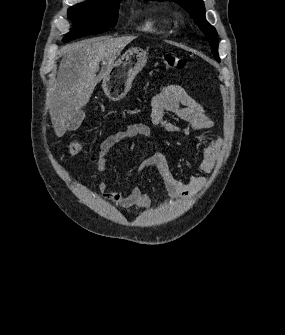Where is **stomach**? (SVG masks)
I'll return each instance as SVG.
<instances>
[{
	"label": "stomach",
	"mask_w": 285,
	"mask_h": 335,
	"mask_svg": "<svg viewBox=\"0 0 285 335\" xmlns=\"http://www.w3.org/2000/svg\"><path fill=\"white\" fill-rule=\"evenodd\" d=\"M145 64L147 52H143L141 48L127 50L103 78L102 88L107 98L113 102L125 98L136 74L141 72Z\"/></svg>",
	"instance_id": "obj_1"
}]
</instances>
